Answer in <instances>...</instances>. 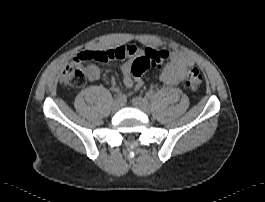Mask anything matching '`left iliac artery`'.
<instances>
[{"mask_svg": "<svg viewBox=\"0 0 265 202\" xmlns=\"http://www.w3.org/2000/svg\"><path fill=\"white\" fill-rule=\"evenodd\" d=\"M154 91L153 90H149L148 92H146V96L148 97V98H152V97H154Z\"/></svg>", "mask_w": 265, "mask_h": 202, "instance_id": "left-iliac-artery-1", "label": "left iliac artery"}]
</instances>
